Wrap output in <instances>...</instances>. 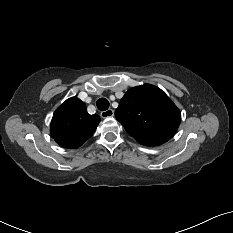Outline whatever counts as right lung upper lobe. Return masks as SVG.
Wrapping results in <instances>:
<instances>
[{
	"label": "right lung upper lobe",
	"instance_id": "right-lung-upper-lobe-1",
	"mask_svg": "<svg viewBox=\"0 0 233 233\" xmlns=\"http://www.w3.org/2000/svg\"><path fill=\"white\" fill-rule=\"evenodd\" d=\"M99 122L97 114H88L85 104L72 97L53 114L50 133L60 146L78 148L93 135Z\"/></svg>",
	"mask_w": 233,
	"mask_h": 233
}]
</instances>
